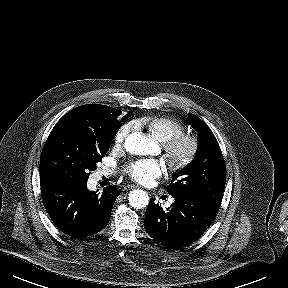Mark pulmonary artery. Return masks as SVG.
Instances as JSON below:
<instances>
[{"mask_svg":"<svg viewBox=\"0 0 288 288\" xmlns=\"http://www.w3.org/2000/svg\"><path fill=\"white\" fill-rule=\"evenodd\" d=\"M108 174H110L109 170H102L97 174V177H100L102 175H108Z\"/></svg>","mask_w":288,"mask_h":288,"instance_id":"e3ab8cb5","label":"pulmonary artery"}]
</instances>
